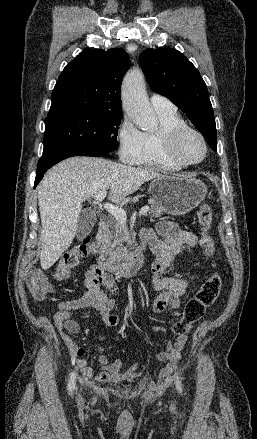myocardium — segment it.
Wrapping results in <instances>:
<instances>
[{
	"mask_svg": "<svg viewBox=\"0 0 257 439\" xmlns=\"http://www.w3.org/2000/svg\"><path fill=\"white\" fill-rule=\"evenodd\" d=\"M189 133L196 135L203 145V156L197 161H186L178 153V145L181 139ZM163 145L168 159L180 168L199 165L206 159L208 154V144L204 135L199 130L186 124L169 130L163 138Z\"/></svg>",
	"mask_w": 257,
	"mask_h": 439,
	"instance_id": "myocardium-1",
	"label": "myocardium"
}]
</instances>
